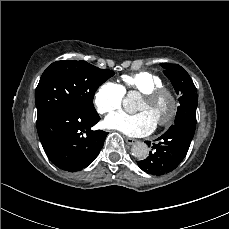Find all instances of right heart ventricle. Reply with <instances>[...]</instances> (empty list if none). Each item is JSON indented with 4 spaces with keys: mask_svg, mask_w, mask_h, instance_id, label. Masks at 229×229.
Instances as JSON below:
<instances>
[{
    "mask_svg": "<svg viewBox=\"0 0 229 229\" xmlns=\"http://www.w3.org/2000/svg\"><path fill=\"white\" fill-rule=\"evenodd\" d=\"M124 86L122 90L124 94L137 92L140 94H144L145 92L164 86V82L162 78L152 72L149 71H140L133 74H127L122 77Z\"/></svg>",
    "mask_w": 229,
    "mask_h": 229,
    "instance_id": "obj_1",
    "label": "right heart ventricle"
}]
</instances>
